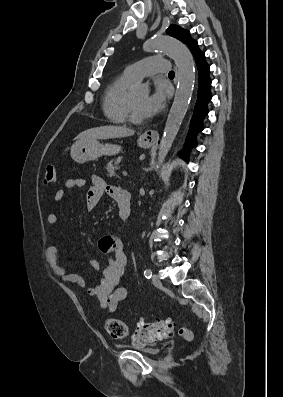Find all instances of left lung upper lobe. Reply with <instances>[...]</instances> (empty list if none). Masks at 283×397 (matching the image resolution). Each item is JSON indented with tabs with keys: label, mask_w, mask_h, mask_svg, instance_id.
I'll return each mask as SVG.
<instances>
[{
	"label": "left lung upper lobe",
	"mask_w": 283,
	"mask_h": 397,
	"mask_svg": "<svg viewBox=\"0 0 283 397\" xmlns=\"http://www.w3.org/2000/svg\"><path fill=\"white\" fill-rule=\"evenodd\" d=\"M167 33L170 36L175 37L178 40L182 41L183 43L187 44L189 48L197 44L195 40L191 39L189 31L184 30L179 26L170 25L169 28L167 29Z\"/></svg>",
	"instance_id": "obj_1"
}]
</instances>
